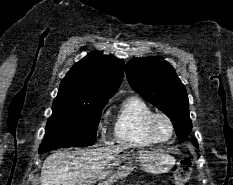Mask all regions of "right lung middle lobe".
<instances>
[{
    "instance_id": "obj_1",
    "label": "right lung middle lobe",
    "mask_w": 233,
    "mask_h": 185,
    "mask_svg": "<svg viewBox=\"0 0 233 185\" xmlns=\"http://www.w3.org/2000/svg\"><path fill=\"white\" fill-rule=\"evenodd\" d=\"M107 102L108 100L85 103L55 98L53 114L47 121L39 153L64 147L93 145L96 142L101 111Z\"/></svg>"
}]
</instances>
